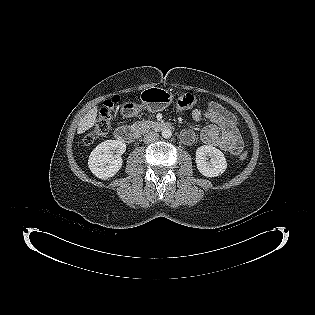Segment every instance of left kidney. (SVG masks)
<instances>
[{
  "label": "left kidney",
  "instance_id": "obj_1",
  "mask_svg": "<svg viewBox=\"0 0 315 315\" xmlns=\"http://www.w3.org/2000/svg\"><path fill=\"white\" fill-rule=\"evenodd\" d=\"M208 157V158H207ZM195 162L199 172L205 177H217L227 168L224 154L210 145H203L196 150Z\"/></svg>",
  "mask_w": 315,
  "mask_h": 315
}]
</instances>
